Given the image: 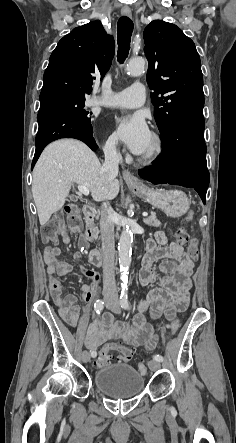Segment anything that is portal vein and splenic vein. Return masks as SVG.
Here are the masks:
<instances>
[{"label":"portal vein and splenic vein","mask_w":236,"mask_h":443,"mask_svg":"<svg viewBox=\"0 0 236 443\" xmlns=\"http://www.w3.org/2000/svg\"><path fill=\"white\" fill-rule=\"evenodd\" d=\"M78 190H79L80 193H82V194H84V195H86V196L89 195V189H88L87 187H85V186H81V185H79V186H78ZM142 215H143V217H147V216H148V213L143 212Z\"/></svg>","instance_id":"obj_1"}]
</instances>
